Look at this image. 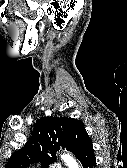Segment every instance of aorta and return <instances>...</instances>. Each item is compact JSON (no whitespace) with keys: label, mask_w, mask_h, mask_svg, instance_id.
I'll list each match as a JSON object with an SVG mask.
<instances>
[{"label":"aorta","mask_w":127,"mask_h":168,"mask_svg":"<svg viewBox=\"0 0 127 168\" xmlns=\"http://www.w3.org/2000/svg\"><path fill=\"white\" fill-rule=\"evenodd\" d=\"M61 159L64 161L68 168H79L77 161L69 154L61 155Z\"/></svg>","instance_id":"762f6f07"}]
</instances>
